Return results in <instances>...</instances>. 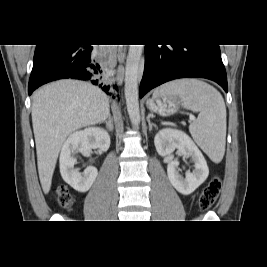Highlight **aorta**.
I'll list each match as a JSON object with an SVG mask.
<instances>
[{
  "label": "aorta",
  "mask_w": 267,
  "mask_h": 267,
  "mask_svg": "<svg viewBox=\"0 0 267 267\" xmlns=\"http://www.w3.org/2000/svg\"><path fill=\"white\" fill-rule=\"evenodd\" d=\"M143 45H130L125 66V99L127 111L134 128L140 123L138 101V74Z\"/></svg>",
  "instance_id": "1"
}]
</instances>
